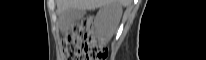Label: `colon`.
I'll list each match as a JSON object with an SVG mask.
<instances>
[{
	"label": "colon",
	"instance_id": "5ec220e1",
	"mask_svg": "<svg viewBox=\"0 0 206 60\" xmlns=\"http://www.w3.org/2000/svg\"><path fill=\"white\" fill-rule=\"evenodd\" d=\"M62 51L66 60H101L107 57V50L97 44L91 17L72 26L64 36Z\"/></svg>",
	"mask_w": 206,
	"mask_h": 60
}]
</instances>
